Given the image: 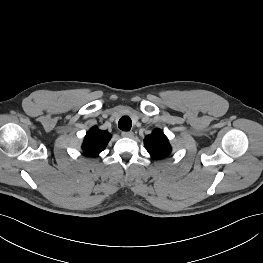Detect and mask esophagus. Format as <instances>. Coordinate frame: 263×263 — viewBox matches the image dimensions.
Returning <instances> with one entry per match:
<instances>
[{
	"mask_svg": "<svg viewBox=\"0 0 263 263\" xmlns=\"http://www.w3.org/2000/svg\"><path fill=\"white\" fill-rule=\"evenodd\" d=\"M121 135H122L123 137H126V138H131V137L133 136V132H132V131H123V132L121 133Z\"/></svg>",
	"mask_w": 263,
	"mask_h": 263,
	"instance_id": "obj_1",
	"label": "esophagus"
}]
</instances>
